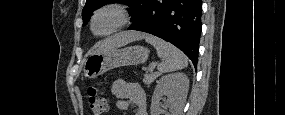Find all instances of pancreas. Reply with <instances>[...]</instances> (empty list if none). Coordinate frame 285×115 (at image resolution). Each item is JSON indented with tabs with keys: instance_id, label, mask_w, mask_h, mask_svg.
<instances>
[{
	"instance_id": "cf45deb5",
	"label": "pancreas",
	"mask_w": 285,
	"mask_h": 115,
	"mask_svg": "<svg viewBox=\"0 0 285 115\" xmlns=\"http://www.w3.org/2000/svg\"><path fill=\"white\" fill-rule=\"evenodd\" d=\"M159 76H160L159 72H153V73L146 72V74L144 75L143 82H144V84L149 86Z\"/></svg>"
}]
</instances>
